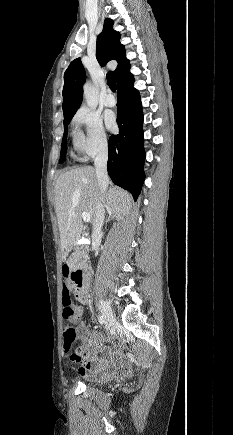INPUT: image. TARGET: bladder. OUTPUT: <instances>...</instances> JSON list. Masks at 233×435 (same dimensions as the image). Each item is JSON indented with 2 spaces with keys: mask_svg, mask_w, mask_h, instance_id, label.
Wrapping results in <instances>:
<instances>
[{
  "mask_svg": "<svg viewBox=\"0 0 233 435\" xmlns=\"http://www.w3.org/2000/svg\"><path fill=\"white\" fill-rule=\"evenodd\" d=\"M116 378L111 379L108 383L111 384L115 381Z\"/></svg>",
  "mask_w": 233,
  "mask_h": 435,
  "instance_id": "31cf9c89",
  "label": "bladder"
}]
</instances>
